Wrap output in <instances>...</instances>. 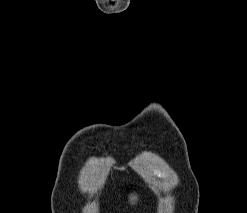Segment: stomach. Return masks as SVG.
Returning <instances> with one entry per match:
<instances>
[{
  "label": "stomach",
  "mask_w": 247,
  "mask_h": 213,
  "mask_svg": "<svg viewBox=\"0 0 247 213\" xmlns=\"http://www.w3.org/2000/svg\"><path fill=\"white\" fill-rule=\"evenodd\" d=\"M139 201V196L137 195V193L133 192V193H130L128 195V204L131 205V206H135L137 205Z\"/></svg>",
  "instance_id": "0dacf381"
}]
</instances>
